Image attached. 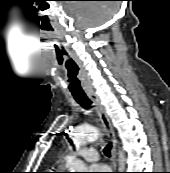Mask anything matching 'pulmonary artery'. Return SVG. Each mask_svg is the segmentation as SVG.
I'll list each match as a JSON object with an SVG mask.
<instances>
[{
    "label": "pulmonary artery",
    "instance_id": "obj_1",
    "mask_svg": "<svg viewBox=\"0 0 170 173\" xmlns=\"http://www.w3.org/2000/svg\"><path fill=\"white\" fill-rule=\"evenodd\" d=\"M80 157L87 162H95L99 159L98 152L94 148H82L74 154L66 156L67 160Z\"/></svg>",
    "mask_w": 170,
    "mask_h": 173
}]
</instances>
